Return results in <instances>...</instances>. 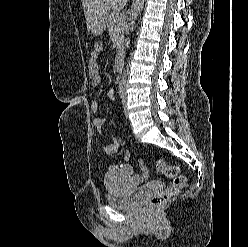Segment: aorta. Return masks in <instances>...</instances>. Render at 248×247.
I'll list each match as a JSON object with an SVG mask.
<instances>
[{
    "mask_svg": "<svg viewBox=\"0 0 248 247\" xmlns=\"http://www.w3.org/2000/svg\"><path fill=\"white\" fill-rule=\"evenodd\" d=\"M144 1L145 0H137L136 1L135 14L137 16H139L141 14V11H142L143 6H144ZM126 79H127V73H126V69H124V71H123V73L121 75V80H120V85L121 86H124L126 84Z\"/></svg>",
    "mask_w": 248,
    "mask_h": 247,
    "instance_id": "obj_1",
    "label": "aorta"
}]
</instances>
